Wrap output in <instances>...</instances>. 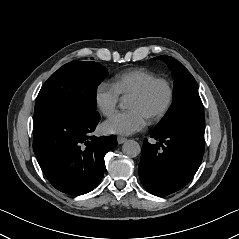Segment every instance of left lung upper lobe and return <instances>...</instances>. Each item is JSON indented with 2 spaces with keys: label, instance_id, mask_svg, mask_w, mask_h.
Returning a JSON list of instances; mask_svg holds the SVG:
<instances>
[{
  "label": "left lung upper lobe",
  "instance_id": "1",
  "mask_svg": "<svg viewBox=\"0 0 239 239\" xmlns=\"http://www.w3.org/2000/svg\"><path fill=\"white\" fill-rule=\"evenodd\" d=\"M168 65L174 78L173 102L159 124L152 130L164 133L187 121L205 122L198 86L191 73L176 59L167 55L155 57Z\"/></svg>",
  "mask_w": 239,
  "mask_h": 239
}]
</instances>
